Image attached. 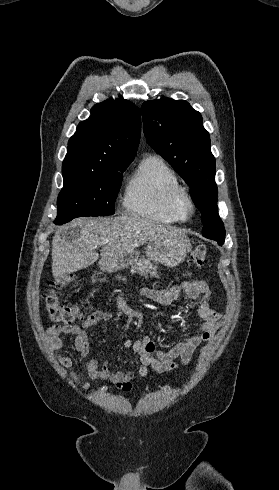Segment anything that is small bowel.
Returning <instances> with one entry per match:
<instances>
[{"label":"small bowel","mask_w":279,"mask_h":490,"mask_svg":"<svg viewBox=\"0 0 279 490\" xmlns=\"http://www.w3.org/2000/svg\"><path fill=\"white\" fill-rule=\"evenodd\" d=\"M182 293L197 306L198 315L203 321L201 327L166 352L157 350L153 340L148 336L135 340L126 339L123 347L133 349L138 356V367L135 370L112 372L107 360L100 367L96 360L85 359L89 353L87 330L99 323L110 321L113 314L109 311L95 310L81 325L49 324L46 327V340L52 349L58 350L63 347L67 337L74 338L75 355H58V360L62 366L69 369L70 377L83 389H88L90 383L82 382L75 372L77 357L83 362L90 379L108 380L118 389L129 391L137 377H144L150 371L165 372L187 365L199 345L210 340L219 329L221 314L209 307L208 301L212 294L208 284L203 280L186 279L165 289L145 288L141 290L140 295L157 304L169 306L179 300Z\"/></svg>","instance_id":"obj_1"}]
</instances>
